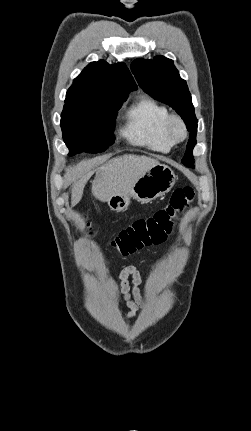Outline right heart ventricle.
Wrapping results in <instances>:
<instances>
[{
    "label": "right heart ventricle",
    "instance_id": "obj_1",
    "mask_svg": "<svg viewBox=\"0 0 251 431\" xmlns=\"http://www.w3.org/2000/svg\"><path fill=\"white\" fill-rule=\"evenodd\" d=\"M168 115L164 105L142 96L127 109L122 134L134 144L167 153L174 146L165 132Z\"/></svg>",
    "mask_w": 251,
    "mask_h": 431
}]
</instances>
